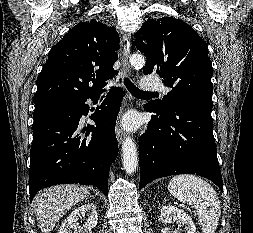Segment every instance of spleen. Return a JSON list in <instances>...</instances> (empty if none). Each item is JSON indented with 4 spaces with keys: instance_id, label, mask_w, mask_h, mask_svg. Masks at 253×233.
<instances>
[{
    "instance_id": "1",
    "label": "spleen",
    "mask_w": 253,
    "mask_h": 233,
    "mask_svg": "<svg viewBox=\"0 0 253 233\" xmlns=\"http://www.w3.org/2000/svg\"><path fill=\"white\" fill-rule=\"evenodd\" d=\"M168 190L177 200L195 208L204 233H215L221 204L209 183L195 175L183 174L170 180Z\"/></svg>"
}]
</instances>
